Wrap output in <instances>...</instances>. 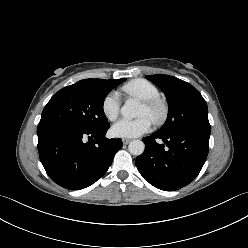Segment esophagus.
Instances as JSON below:
<instances>
[{
  "label": "esophagus",
  "mask_w": 248,
  "mask_h": 248,
  "mask_svg": "<svg viewBox=\"0 0 248 248\" xmlns=\"http://www.w3.org/2000/svg\"><path fill=\"white\" fill-rule=\"evenodd\" d=\"M131 140L130 139H127V138H123L122 139V142L123 144L127 145Z\"/></svg>",
  "instance_id": "obj_1"
}]
</instances>
